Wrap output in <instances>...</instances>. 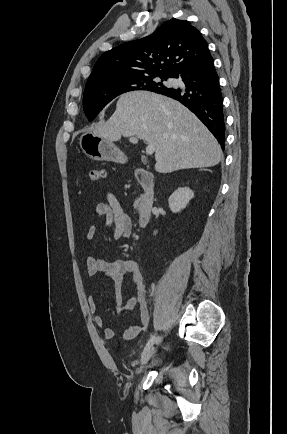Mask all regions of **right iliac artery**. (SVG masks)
<instances>
[{
	"label": "right iliac artery",
	"mask_w": 287,
	"mask_h": 434,
	"mask_svg": "<svg viewBox=\"0 0 287 434\" xmlns=\"http://www.w3.org/2000/svg\"><path fill=\"white\" fill-rule=\"evenodd\" d=\"M156 341H157L156 335H152L151 338L149 339L148 343L146 344L144 350H146L149 347H151L154 344V342H156Z\"/></svg>",
	"instance_id": "82829eb1"
}]
</instances>
